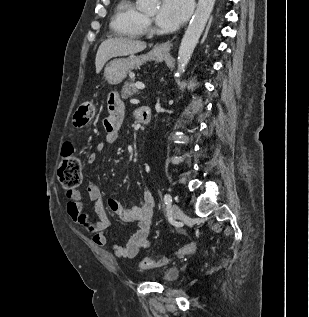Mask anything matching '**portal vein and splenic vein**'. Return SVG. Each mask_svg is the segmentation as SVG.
Wrapping results in <instances>:
<instances>
[{
    "label": "portal vein and splenic vein",
    "instance_id": "1",
    "mask_svg": "<svg viewBox=\"0 0 309 317\" xmlns=\"http://www.w3.org/2000/svg\"><path fill=\"white\" fill-rule=\"evenodd\" d=\"M135 87H136L137 89L142 90V89L145 88V85H144L142 82H136V83H135Z\"/></svg>",
    "mask_w": 309,
    "mask_h": 317
}]
</instances>
